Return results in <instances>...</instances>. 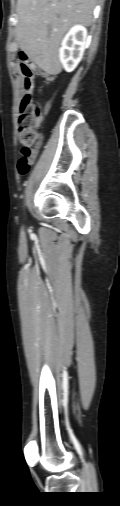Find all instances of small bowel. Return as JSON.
I'll return each instance as SVG.
<instances>
[{"label":"small bowel","instance_id":"obj_1","mask_svg":"<svg viewBox=\"0 0 120 506\" xmlns=\"http://www.w3.org/2000/svg\"><path fill=\"white\" fill-rule=\"evenodd\" d=\"M32 88H33V84H32V86L30 88V91L32 90ZM43 109H44V112H47L49 110V104H45L44 107H43Z\"/></svg>","mask_w":120,"mask_h":506}]
</instances>
